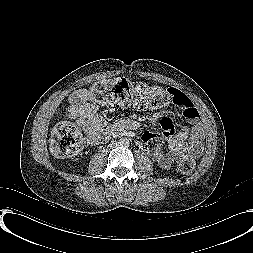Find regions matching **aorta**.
Segmentation results:
<instances>
[{
	"label": "aorta",
	"instance_id": "aorta-1",
	"mask_svg": "<svg viewBox=\"0 0 253 253\" xmlns=\"http://www.w3.org/2000/svg\"><path fill=\"white\" fill-rule=\"evenodd\" d=\"M119 143H120V145H121V146L125 147V146H127V145H128V143H129V142H128V140H127V139L123 138V139H121V140H120V142H119Z\"/></svg>",
	"mask_w": 253,
	"mask_h": 253
}]
</instances>
